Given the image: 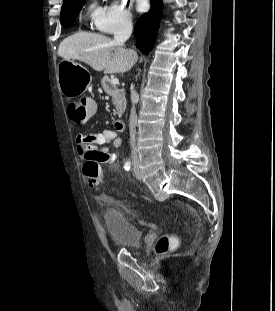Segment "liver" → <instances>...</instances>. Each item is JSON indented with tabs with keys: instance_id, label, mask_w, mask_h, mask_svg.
I'll return each instance as SVG.
<instances>
[{
	"instance_id": "6515ba94",
	"label": "liver",
	"mask_w": 275,
	"mask_h": 311,
	"mask_svg": "<svg viewBox=\"0 0 275 311\" xmlns=\"http://www.w3.org/2000/svg\"><path fill=\"white\" fill-rule=\"evenodd\" d=\"M58 54L66 60L76 59L105 74L125 73L138 59L134 50L117 45L109 37L90 32H78L65 38Z\"/></svg>"
}]
</instances>
